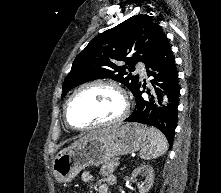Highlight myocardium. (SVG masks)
Masks as SVG:
<instances>
[{
	"mask_svg": "<svg viewBox=\"0 0 221 193\" xmlns=\"http://www.w3.org/2000/svg\"><path fill=\"white\" fill-rule=\"evenodd\" d=\"M91 86H108L111 87L112 89H114L120 96L121 101H122V108L120 110V112L118 113V115L116 117H114L111 120L105 121V122H101V123H96L90 126H85V127H79L74 125L70 120H69V116H68V109H69V105L72 102V100L74 99V97L82 90L91 87ZM129 108H130V104H129V100L127 97L126 92L124 91V89L115 81L113 80H108V79H94V80H90L87 81L81 85H79L67 98L65 104H64V108H63V116H64V121L65 124L72 130L75 131H79V132H86V131H90V130H94V129H99V128H105V127H111V126H115L119 123H121L126 116L128 115L129 112Z\"/></svg>",
	"mask_w": 221,
	"mask_h": 193,
	"instance_id": "obj_1",
	"label": "myocardium"
}]
</instances>
